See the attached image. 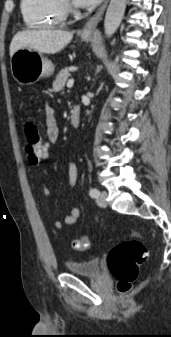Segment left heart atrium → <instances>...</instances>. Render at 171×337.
Wrapping results in <instances>:
<instances>
[{
    "instance_id": "left-heart-atrium-1",
    "label": "left heart atrium",
    "mask_w": 171,
    "mask_h": 337,
    "mask_svg": "<svg viewBox=\"0 0 171 337\" xmlns=\"http://www.w3.org/2000/svg\"><path fill=\"white\" fill-rule=\"evenodd\" d=\"M77 6L91 7L97 5L101 0H73Z\"/></svg>"
}]
</instances>
